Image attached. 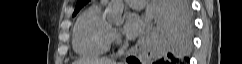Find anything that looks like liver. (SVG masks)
<instances>
[{
  "label": "liver",
  "mask_w": 242,
  "mask_h": 64,
  "mask_svg": "<svg viewBox=\"0 0 242 64\" xmlns=\"http://www.w3.org/2000/svg\"><path fill=\"white\" fill-rule=\"evenodd\" d=\"M73 64H116L112 59H81L75 61Z\"/></svg>",
  "instance_id": "1"
}]
</instances>
